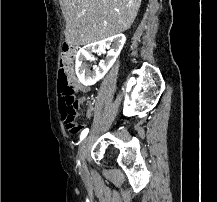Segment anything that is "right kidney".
<instances>
[{
  "instance_id": "right-kidney-1",
  "label": "right kidney",
  "mask_w": 217,
  "mask_h": 202,
  "mask_svg": "<svg viewBox=\"0 0 217 202\" xmlns=\"http://www.w3.org/2000/svg\"><path fill=\"white\" fill-rule=\"evenodd\" d=\"M125 40L124 34H117V36L106 38V40H101V42L87 44V46L79 50L76 56L75 72L83 86H93L97 80L104 78L108 70L112 68L116 58H118L125 44ZM96 46L98 52H103V50H108V52L103 62H100L98 72H95V76H93L92 72L87 70L86 60H91L92 52H95Z\"/></svg>"
}]
</instances>
